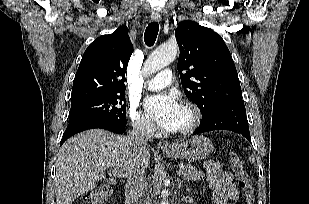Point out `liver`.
<instances>
[{
  "label": "liver",
  "instance_id": "liver-1",
  "mask_svg": "<svg viewBox=\"0 0 309 204\" xmlns=\"http://www.w3.org/2000/svg\"><path fill=\"white\" fill-rule=\"evenodd\" d=\"M150 152L137 153L128 137L102 129L84 131L69 140L56 156L55 194L57 204H72L80 195L105 179V170L123 172L129 177L135 168L145 169Z\"/></svg>",
  "mask_w": 309,
  "mask_h": 204
}]
</instances>
